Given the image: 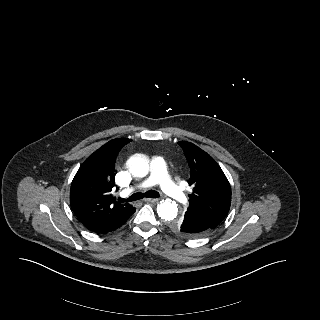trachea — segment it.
Wrapping results in <instances>:
<instances>
[{
  "instance_id": "trachea-1",
  "label": "trachea",
  "mask_w": 320,
  "mask_h": 320,
  "mask_svg": "<svg viewBox=\"0 0 320 320\" xmlns=\"http://www.w3.org/2000/svg\"><path fill=\"white\" fill-rule=\"evenodd\" d=\"M144 197H147V198H158L159 197V193L157 191H154V190H149L145 193H134L133 195H131L129 198L127 199H122V198H119V201L120 202H133V201H137V200H140Z\"/></svg>"
}]
</instances>
